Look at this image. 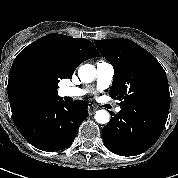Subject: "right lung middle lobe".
Instances as JSON below:
<instances>
[{
    "label": "right lung middle lobe",
    "mask_w": 178,
    "mask_h": 178,
    "mask_svg": "<svg viewBox=\"0 0 178 178\" xmlns=\"http://www.w3.org/2000/svg\"><path fill=\"white\" fill-rule=\"evenodd\" d=\"M58 83V80L39 74H31L25 80V88L31 96L37 98L50 97L57 95Z\"/></svg>",
    "instance_id": "obj_1"
}]
</instances>
